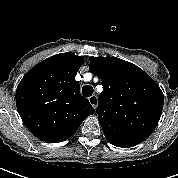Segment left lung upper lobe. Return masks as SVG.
Segmentation results:
<instances>
[{"label":"left lung upper lobe","instance_id":"5c2ea615","mask_svg":"<svg viewBox=\"0 0 178 178\" xmlns=\"http://www.w3.org/2000/svg\"><path fill=\"white\" fill-rule=\"evenodd\" d=\"M89 69L102 80L98 120L107 140L132 147L156 128L164 104L159 85L138 66L116 57H90Z\"/></svg>","mask_w":178,"mask_h":178}]
</instances>
